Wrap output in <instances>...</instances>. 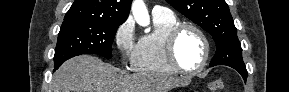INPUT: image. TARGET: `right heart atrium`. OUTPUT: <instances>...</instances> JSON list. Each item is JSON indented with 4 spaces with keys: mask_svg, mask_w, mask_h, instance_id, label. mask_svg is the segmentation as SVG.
<instances>
[{
    "mask_svg": "<svg viewBox=\"0 0 289 92\" xmlns=\"http://www.w3.org/2000/svg\"><path fill=\"white\" fill-rule=\"evenodd\" d=\"M114 40L123 61L132 65L137 49L135 26L132 19L128 18L117 28Z\"/></svg>",
    "mask_w": 289,
    "mask_h": 92,
    "instance_id": "obj_1",
    "label": "right heart atrium"
}]
</instances>
